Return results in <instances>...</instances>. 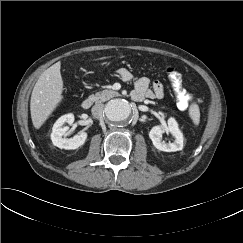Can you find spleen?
Returning <instances> with one entry per match:
<instances>
[{
  "instance_id": "spleen-1",
  "label": "spleen",
  "mask_w": 243,
  "mask_h": 243,
  "mask_svg": "<svg viewBox=\"0 0 243 243\" xmlns=\"http://www.w3.org/2000/svg\"><path fill=\"white\" fill-rule=\"evenodd\" d=\"M189 116L195 125H199L200 122V110L196 103H192L188 110Z\"/></svg>"
}]
</instances>
